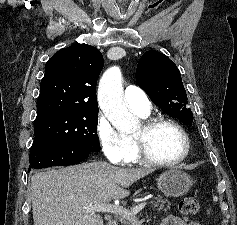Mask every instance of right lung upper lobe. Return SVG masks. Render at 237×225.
Listing matches in <instances>:
<instances>
[{
    "label": "right lung upper lobe",
    "instance_id": "obj_1",
    "mask_svg": "<svg viewBox=\"0 0 237 225\" xmlns=\"http://www.w3.org/2000/svg\"><path fill=\"white\" fill-rule=\"evenodd\" d=\"M103 65L101 52L87 44H74L55 53L45 65L36 120L98 112L95 87Z\"/></svg>",
    "mask_w": 237,
    "mask_h": 225
}]
</instances>
